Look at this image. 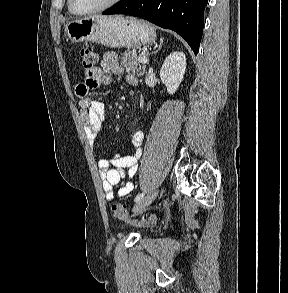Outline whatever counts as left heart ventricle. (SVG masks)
Segmentation results:
<instances>
[{
    "mask_svg": "<svg viewBox=\"0 0 288 293\" xmlns=\"http://www.w3.org/2000/svg\"><path fill=\"white\" fill-rule=\"evenodd\" d=\"M109 0H73V5L77 10L85 11L99 7Z\"/></svg>",
    "mask_w": 288,
    "mask_h": 293,
    "instance_id": "1",
    "label": "left heart ventricle"
}]
</instances>
